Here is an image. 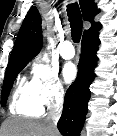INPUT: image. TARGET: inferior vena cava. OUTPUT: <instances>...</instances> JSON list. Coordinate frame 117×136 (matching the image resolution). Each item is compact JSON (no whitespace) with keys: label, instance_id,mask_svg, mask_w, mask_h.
Returning a JSON list of instances; mask_svg holds the SVG:
<instances>
[{"label":"inferior vena cava","instance_id":"602c4592","mask_svg":"<svg viewBox=\"0 0 117 136\" xmlns=\"http://www.w3.org/2000/svg\"><path fill=\"white\" fill-rule=\"evenodd\" d=\"M63 95V91H62ZM61 95V96H62ZM56 100V104L53 105L48 113L46 124L51 136H54V132L57 131L56 125L62 112V97Z\"/></svg>","mask_w":117,"mask_h":136}]
</instances>
